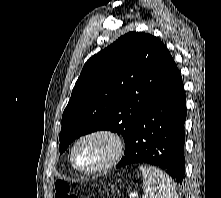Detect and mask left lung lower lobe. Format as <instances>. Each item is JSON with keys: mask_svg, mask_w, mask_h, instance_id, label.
<instances>
[{"mask_svg": "<svg viewBox=\"0 0 221 198\" xmlns=\"http://www.w3.org/2000/svg\"><path fill=\"white\" fill-rule=\"evenodd\" d=\"M185 120L184 86L174 62L163 86L139 118L117 167L148 163L161 167L181 183L185 166Z\"/></svg>", "mask_w": 221, "mask_h": 198, "instance_id": "0a47b994", "label": "left lung lower lobe"}]
</instances>
